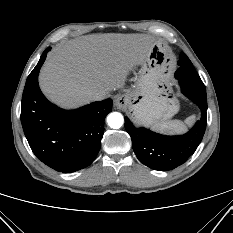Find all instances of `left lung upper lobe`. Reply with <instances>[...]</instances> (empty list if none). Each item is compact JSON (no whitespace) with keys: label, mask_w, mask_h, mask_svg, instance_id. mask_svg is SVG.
Segmentation results:
<instances>
[{"label":"left lung upper lobe","mask_w":233,"mask_h":233,"mask_svg":"<svg viewBox=\"0 0 233 233\" xmlns=\"http://www.w3.org/2000/svg\"><path fill=\"white\" fill-rule=\"evenodd\" d=\"M188 64H189L188 66L189 77L191 78H186V81H188L190 84H193L195 86L205 87L200 77L198 76L197 72L195 71L191 61H189Z\"/></svg>","instance_id":"5c2ea615"}]
</instances>
